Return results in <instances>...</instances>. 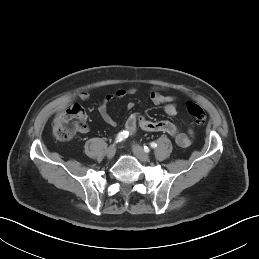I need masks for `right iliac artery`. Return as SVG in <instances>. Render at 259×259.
<instances>
[{
    "label": "right iliac artery",
    "mask_w": 259,
    "mask_h": 259,
    "mask_svg": "<svg viewBox=\"0 0 259 259\" xmlns=\"http://www.w3.org/2000/svg\"><path fill=\"white\" fill-rule=\"evenodd\" d=\"M128 137V132L127 131H122L120 132L117 137H116V143L121 142L125 140Z\"/></svg>",
    "instance_id": "right-iliac-artery-1"
}]
</instances>
